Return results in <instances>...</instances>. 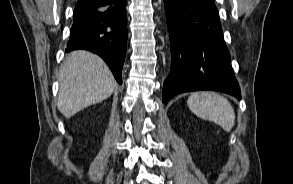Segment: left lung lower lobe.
Masks as SVG:
<instances>
[{"label": "left lung lower lobe", "instance_id": "obj_1", "mask_svg": "<svg viewBox=\"0 0 293 184\" xmlns=\"http://www.w3.org/2000/svg\"><path fill=\"white\" fill-rule=\"evenodd\" d=\"M171 71L163 102L178 93L215 90L241 99L214 0H164Z\"/></svg>", "mask_w": 293, "mask_h": 184}]
</instances>
